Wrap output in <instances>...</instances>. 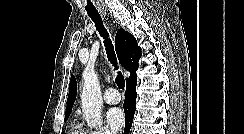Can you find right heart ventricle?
Wrapping results in <instances>:
<instances>
[{"mask_svg":"<svg viewBox=\"0 0 244 134\" xmlns=\"http://www.w3.org/2000/svg\"><path fill=\"white\" fill-rule=\"evenodd\" d=\"M68 134H90V131L83 128L78 123H73Z\"/></svg>","mask_w":244,"mask_h":134,"instance_id":"right-heart-ventricle-1","label":"right heart ventricle"}]
</instances>
